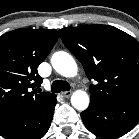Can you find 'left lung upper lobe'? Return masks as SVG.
Wrapping results in <instances>:
<instances>
[{"instance_id":"obj_1","label":"left lung upper lobe","mask_w":139,"mask_h":139,"mask_svg":"<svg viewBox=\"0 0 139 139\" xmlns=\"http://www.w3.org/2000/svg\"><path fill=\"white\" fill-rule=\"evenodd\" d=\"M65 46L84 67L90 100L113 104L139 98V42L107 25H87L59 30Z\"/></svg>"}]
</instances>
